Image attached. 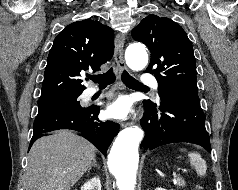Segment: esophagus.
I'll return each mask as SVG.
<instances>
[{"instance_id": "1", "label": "esophagus", "mask_w": 238, "mask_h": 190, "mask_svg": "<svg viewBox=\"0 0 238 190\" xmlns=\"http://www.w3.org/2000/svg\"><path fill=\"white\" fill-rule=\"evenodd\" d=\"M125 36L122 33H118L115 38V51H114V59L117 65V69L119 72H122L126 69V64L124 61L123 47H124ZM132 123L126 122L121 123V127H127Z\"/></svg>"}]
</instances>
